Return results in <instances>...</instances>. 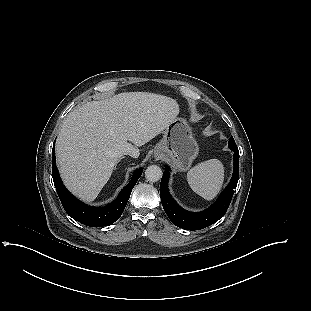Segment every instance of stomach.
Returning <instances> with one entry per match:
<instances>
[{
	"label": "stomach",
	"mask_w": 311,
	"mask_h": 311,
	"mask_svg": "<svg viewBox=\"0 0 311 311\" xmlns=\"http://www.w3.org/2000/svg\"><path fill=\"white\" fill-rule=\"evenodd\" d=\"M199 148L185 119L178 118L163 132L154 148V157L165 156L179 171L189 169Z\"/></svg>",
	"instance_id": "stomach-1"
}]
</instances>
